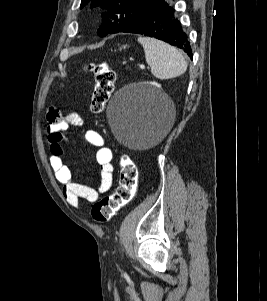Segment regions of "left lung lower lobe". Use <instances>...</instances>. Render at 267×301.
Wrapping results in <instances>:
<instances>
[{
	"label": "left lung lower lobe",
	"mask_w": 267,
	"mask_h": 301,
	"mask_svg": "<svg viewBox=\"0 0 267 301\" xmlns=\"http://www.w3.org/2000/svg\"><path fill=\"white\" fill-rule=\"evenodd\" d=\"M118 32L142 34L157 38L185 51L192 59V50L174 9L166 0L147 10L136 21L125 25Z\"/></svg>",
	"instance_id": "obj_1"
}]
</instances>
